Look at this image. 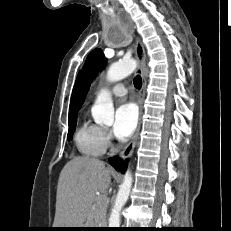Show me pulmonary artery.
Segmentation results:
<instances>
[{
    "instance_id": "1",
    "label": "pulmonary artery",
    "mask_w": 231,
    "mask_h": 231,
    "mask_svg": "<svg viewBox=\"0 0 231 231\" xmlns=\"http://www.w3.org/2000/svg\"><path fill=\"white\" fill-rule=\"evenodd\" d=\"M110 92L115 96H125L127 94V88L124 83L119 82L111 87Z\"/></svg>"
}]
</instances>
